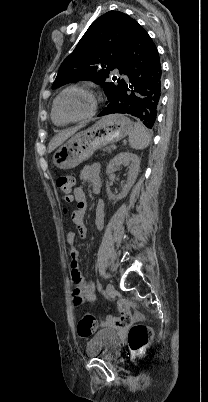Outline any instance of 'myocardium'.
Here are the masks:
<instances>
[{"label":"myocardium","mask_w":208,"mask_h":402,"mask_svg":"<svg viewBox=\"0 0 208 402\" xmlns=\"http://www.w3.org/2000/svg\"><path fill=\"white\" fill-rule=\"evenodd\" d=\"M70 90H80V91L89 93V94H91V95L94 97L93 106H92L91 110H90L88 113H86V114L83 115V116L77 117V118H69V117H66L65 115H63V114L60 112V110H59V108H58V101H59L60 97H61L63 94H65L66 92H68V91H70ZM101 101H102L101 96H100L99 93H98L97 91H95L94 89L87 88V87H84V86L71 85V86H68V87L64 88V89L56 96V98H55V100H54V103H53V108H54L56 114L59 116V118H60L62 121L66 122V123H73V122L84 121V120H87V119L91 118V117L97 112L98 107H99Z\"/></svg>","instance_id":"obj_1"}]
</instances>
